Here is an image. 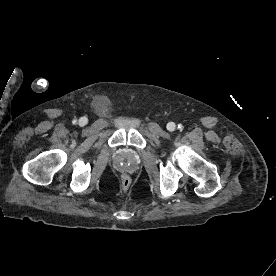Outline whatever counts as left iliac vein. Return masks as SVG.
<instances>
[{
    "instance_id": "1",
    "label": "left iliac vein",
    "mask_w": 276,
    "mask_h": 276,
    "mask_svg": "<svg viewBox=\"0 0 276 276\" xmlns=\"http://www.w3.org/2000/svg\"><path fill=\"white\" fill-rule=\"evenodd\" d=\"M175 127H176V125H175V123H173V122H170V123H168V125H167V128H168L169 131H174V130H175Z\"/></svg>"
}]
</instances>
